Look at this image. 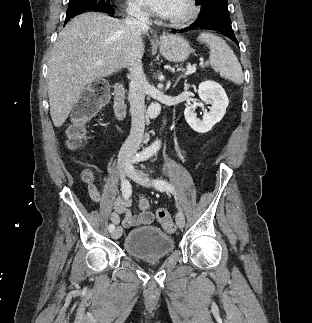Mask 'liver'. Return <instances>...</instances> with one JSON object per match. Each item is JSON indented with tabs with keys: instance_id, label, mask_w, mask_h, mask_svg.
<instances>
[{
	"instance_id": "1",
	"label": "liver",
	"mask_w": 312,
	"mask_h": 323,
	"mask_svg": "<svg viewBox=\"0 0 312 323\" xmlns=\"http://www.w3.org/2000/svg\"><path fill=\"white\" fill-rule=\"evenodd\" d=\"M144 50L142 44L140 60ZM134 52L133 36L121 20L108 14L86 12L68 22L48 60V96L55 128L66 122L87 84L128 68ZM95 62L105 66L93 68Z\"/></svg>"
}]
</instances>
